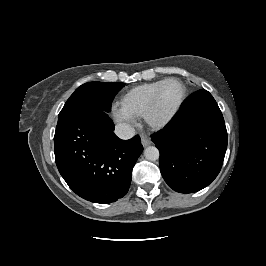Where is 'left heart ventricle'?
<instances>
[{
  "instance_id": "1",
  "label": "left heart ventricle",
  "mask_w": 266,
  "mask_h": 266,
  "mask_svg": "<svg viewBox=\"0 0 266 266\" xmlns=\"http://www.w3.org/2000/svg\"><path fill=\"white\" fill-rule=\"evenodd\" d=\"M181 97V87L177 82H170L162 89L154 118L158 121L165 119L177 106Z\"/></svg>"
}]
</instances>
